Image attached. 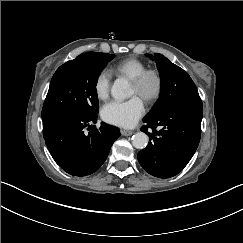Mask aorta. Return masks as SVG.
<instances>
[{
	"mask_svg": "<svg viewBox=\"0 0 243 243\" xmlns=\"http://www.w3.org/2000/svg\"><path fill=\"white\" fill-rule=\"evenodd\" d=\"M111 95L114 99L122 101L133 95V90L128 81L124 78L116 79L112 88ZM149 137L143 132H137L132 136V145L136 149H143L147 146Z\"/></svg>",
	"mask_w": 243,
	"mask_h": 243,
	"instance_id": "1",
	"label": "aorta"
}]
</instances>
